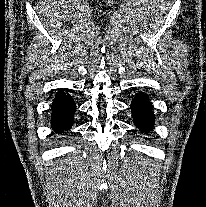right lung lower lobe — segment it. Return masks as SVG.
I'll list each match as a JSON object with an SVG mask.
<instances>
[{
    "label": "right lung lower lobe",
    "instance_id": "obj_1",
    "mask_svg": "<svg viewBox=\"0 0 206 207\" xmlns=\"http://www.w3.org/2000/svg\"><path fill=\"white\" fill-rule=\"evenodd\" d=\"M75 109L73 99L61 89L52 103L51 126L55 132L62 133L70 129L73 125Z\"/></svg>",
    "mask_w": 206,
    "mask_h": 207
}]
</instances>
